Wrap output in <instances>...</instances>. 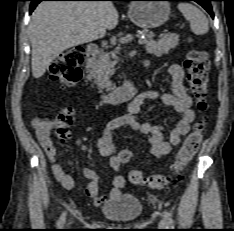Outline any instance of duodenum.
<instances>
[{"label":"duodenum","instance_id":"1","mask_svg":"<svg viewBox=\"0 0 234 231\" xmlns=\"http://www.w3.org/2000/svg\"><path fill=\"white\" fill-rule=\"evenodd\" d=\"M98 53V46L95 43H91L87 46L85 51V59L92 61ZM137 85L136 82L130 80L124 85L110 91L103 95V101L106 104L116 105L129 101L136 94Z\"/></svg>","mask_w":234,"mask_h":231}]
</instances>
